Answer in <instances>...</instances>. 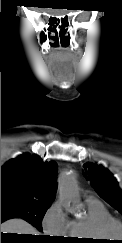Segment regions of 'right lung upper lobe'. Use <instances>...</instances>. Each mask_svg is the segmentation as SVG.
<instances>
[{"label":"right lung upper lobe","mask_w":122,"mask_h":243,"mask_svg":"<svg viewBox=\"0 0 122 243\" xmlns=\"http://www.w3.org/2000/svg\"><path fill=\"white\" fill-rule=\"evenodd\" d=\"M56 175V162H43L39 156L22 154L2 166L1 196L52 202L57 190Z\"/></svg>","instance_id":"right-lung-upper-lobe-1"}]
</instances>
